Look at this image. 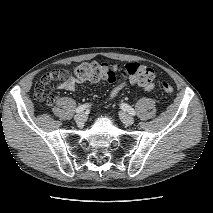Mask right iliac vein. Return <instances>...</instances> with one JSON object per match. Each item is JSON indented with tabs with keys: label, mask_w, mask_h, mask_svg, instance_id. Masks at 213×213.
I'll return each mask as SVG.
<instances>
[{
	"label": "right iliac vein",
	"mask_w": 213,
	"mask_h": 213,
	"mask_svg": "<svg viewBox=\"0 0 213 213\" xmlns=\"http://www.w3.org/2000/svg\"><path fill=\"white\" fill-rule=\"evenodd\" d=\"M87 117L84 113H79L77 115H75L74 120L77 123H84L86 121Z\"/></svg>",
	"instance_id": "obj_1"
}]
</instances>
